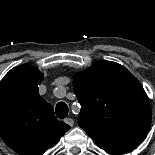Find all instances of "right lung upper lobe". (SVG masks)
<instances>
[{
  "label": "right lung upper lobe",
  "mask_w": 155,
  "mask_h": 155,
  "mask_svg": "<svg viewBox=\"0 0 155 155\" xmlns=\"http://www.w3.org/2000/svg\"><path fill=\"white\" fill-rule=\"evenodd\" d=\"M42 79L37 68L22 64L0 82V136L19 155H43L70 129L40 97Z\"/></svg>",
  "instance_id": "cb5924a9"
}]
</instances>
